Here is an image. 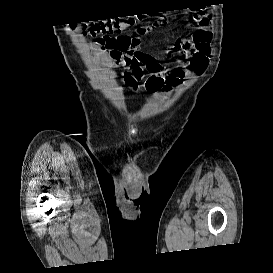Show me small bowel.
Listing matches in <instances>:
<instances>
[{
    "label": "small bowel",
    "mask_w": 273,
    "mask_h": 273,
    "mask_svg": "<svg viewBox=\"0 0 273 273\" xmlns=\"http://www.w3.org/2000/svg\"><path fill=\"white\" fill-rule=\"evenodd\" d=\"M194 27L189 38L177 39L165 50L157 53L142 51L130 45V36H104L97 40L96 47L103 51L113 63L126 68L120 73V79L131 92H137L142 83L149 94L164 87L171 90L184 81L205 72L209 64L211 41L213 38L211 19L200 13L187 19ZM163 25H150L147 31H155ZM173 58L177 65L164 68L158 58Z\"/></svg>",
    "instance_id": "1"
}]
</instances>
